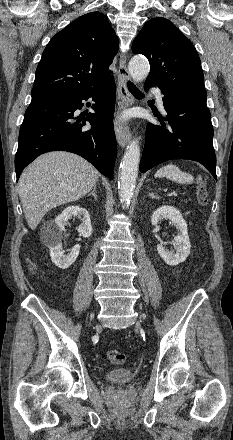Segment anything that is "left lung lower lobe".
Segmentation results:
<instances>
[{
    "instance_id": "left-lung-lower-lobe-1",
    "label": "left lung lower lobe",
    "mask_w": 233,
    "mask_h": 440,
    "mask_svg": "<svg viewBox=\"0 0 233 440\" xmlns=\"http://www.w3.org/2000/svg\"><path fill=\"white\" fill-rule=\"evenodd\" d=\"M156 86L145 82V89ZM167 112L165 120L159 117L161 126L148 124L140 171L172 159H189L200 162L216 177V156L213 149V127L206 100L189 94L162 92Z\"/></svg>"
}]
</instances>
